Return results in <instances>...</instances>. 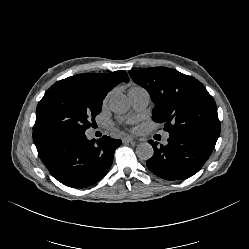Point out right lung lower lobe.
Wrapping results in <instances>:
<instances>
[{"label":"right lung lower lobe","mask_w":249,"mask_h":249,"mask_svg":"<svg viewBox=\"0 0 249 249\" xmlns=\"http://www.w3.org/2000/svg\"><path fill=\"white\" fill-rule=\"evenodd\" d=\"M33 141L52 176L73 188H85L103 178L122 143L106 135L89 140L85 132L77 131H33Z\"/></svg>","instance_id":"obj_1"}]
</instances>
